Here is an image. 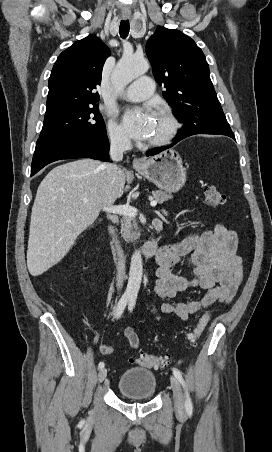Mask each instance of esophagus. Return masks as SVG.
<instances>
[{"label": "esophagus", "mask_w": 272, "mask_h": 452, "mask_svg": "<svg viewBox=\"0 0 272 452\" xmlns=\"http://www.w3.org/2000/svg\"><path fill=\"white\" fill-rule=\"evenodd\" d=\"M130 17V15H123V19H128ZM140 165H142V161L141 160H139V159H134L133 160V166L134 167H137V166H140Z\"/></svg>", "instance_id": "obj_1"}]
</instances>
